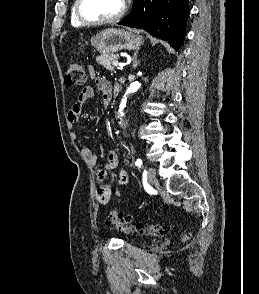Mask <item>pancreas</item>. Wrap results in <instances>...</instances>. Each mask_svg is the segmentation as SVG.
<instances>
[{
  "label": "pancreas",
  "instance_id": "1",
  "mask_svg": "<svg viewBox=\"0 0 259 294\" xmlns=\"http://www.w3.org/2000/svg\"><path fill=\"white\" fill-rule=\"evenodd\" d=\"M118 59V55L111 54H101L96 58V61L98 64L102 65L104 68H106L109 71H114V67L112 66V63Z\"/></svg>",
  "mask_w": 259,
  "mask_h": 294
}]
</instances>
